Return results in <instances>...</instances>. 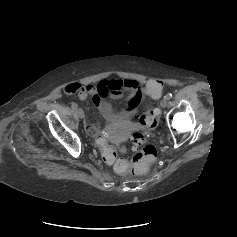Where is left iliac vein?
Here are the masks:
<instances>
[{
	"instance_id": "4c4485c4",
	"label": "left iliac vein",
	"mask_w": 237,
	"mask_h": 237,
	"mask_svg": "<svg viewBox=\"0 0 237 237\" xmlns=\"http://www.w3.org/2000/svg\"><path fill=\"white\" fill-rule=\"evenodd\" d=\"M160 105H161L162 108H165L168 105V99L164 97L161 100Z\"/></svg>"
}]
</instances>
